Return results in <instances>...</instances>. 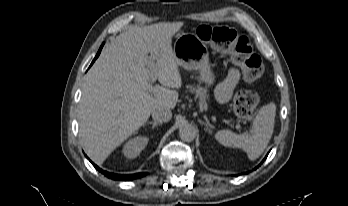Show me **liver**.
Listing matches in <instances>:
<instances>
[{
  "mask_svg": "<svg viewBox=\"0 0 348 206\" xmlns=\"http://www.w3.org/2000/svg\"><path fill=\"white\" fill-rule=\"evenodd\" d=\"M183 24L130 27L102 50L89 70L80 100L79 133L87 155L98 165L143 126L155 108L176 106L179 94L174 89L182 86V79L171 44ZM152 79L162 86H152Z\"/></svg>",
  "mask_w": 348,
  "mask_h": 206,
  "instance_id": "1",
  "label": "liver"
}]
</instances>
